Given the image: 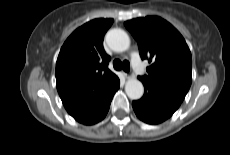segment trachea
<instances>
[{
  "label": "trachea",
  "instance_id": "1",
  "mask_svg": "<svg viewBox=\"0 0 230 155\" xmlns=\"http://www.w3.org/2000/svg\"><path fill=\"white\" fill-rule=\"evenodd\" d=\"M113 67L115 70H121L123 69L125 72H129L130 70V63L127 60H124L123 62L120 59H115L113 61Z\"/></svg>",
  "mask_w": 230,
  "mask_h": 155
}]
</instances>
